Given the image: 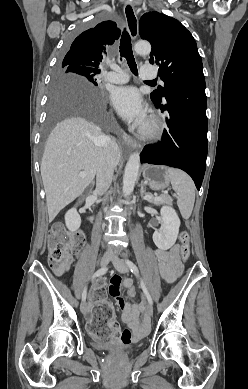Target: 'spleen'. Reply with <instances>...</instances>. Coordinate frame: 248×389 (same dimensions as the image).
I'll return each instance as SVG.
<instances>
[{
    "label": "spleen",
    "instance_id": "spleen-1",
    "mask_svg": "<svg viewBox=\"0 0 248 389\" xmlns=\"http://www.w3.org/2000/svg\"><path fill=\"white\" fill-rule=\"evenodd\" d=\"M168 177L177 194V204L184 219L191 216L195 202V185L191 177L182 170L167 169Z\"/></svg>",
    "mask_w": 248,
    "mask_h": 389
}]
</instances>
